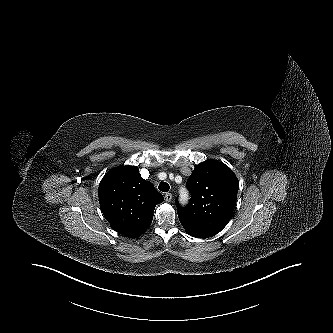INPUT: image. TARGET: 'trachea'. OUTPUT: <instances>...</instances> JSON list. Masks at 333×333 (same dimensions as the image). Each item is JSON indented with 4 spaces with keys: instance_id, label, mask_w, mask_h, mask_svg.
<instances>
[{
    "instance_id": "3493384b",
    "label": "trachea",
    "mask_w": 333,
    "mask_h": 333,
    "mask_svg": "<svg viewBox=\"0 0 333 333\" xmlns=\"http://www.w3.org/2000/svg\"><path fill=\"white\" fill-rule=\"evenodd\" d=\"M159 190L162 192H168L170 189V186L167 182H161L158 186Z\"/></svg>"
}]
</instances>
